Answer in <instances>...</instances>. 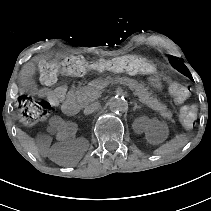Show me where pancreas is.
Listing matches in <instances>:
<instances>
[{
  "label": "pancreas",
  "instance_id": "obj_1",
  "mask_svg": "<svg viewBox=\"0 0 211 211\" xmlns=\"http://www.w3.org/2000/svg\"><path fill=\"white\" fill-rule=\"evenodd\" d=\"M121 84L127 85L131 90H135L134 94L137 95L141 102L147 104L153 110L159 111L160 115L163 118L169 119L172 122H175L172 119V113L166 107V105L160 103L156 98L151 96V93L148 91L143 84L138 83L134 79L124 77L121 79ZM105 90V85L101 81H95L92 85H88L77 90H72V95L74 97L70 100V105L74 109H79L82 105H86L89 102H93L97 99L98 94L103 93Z\"/></svg>",
  "mask_w": 211,
  "mask_h": 211
}]
</instances>
